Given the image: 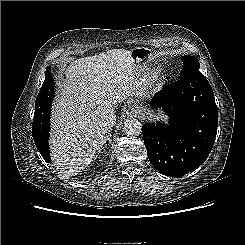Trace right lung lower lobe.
Segmentation results:
<instances>
[{
    "instance_id": "obj_1",
    "label": "right lung lower lobe",
    "mask_w": 245,
    "mask_h": 245,
    "mask_svg": "<svg viewBox=\"0 0 245 245\" xmlns=\"http://www.w3.org/2000/svg\"><path fill=\"white\" fill-rule=\"evenodd\" d=\"M50 116L49 117H35L32 124L33 139L37 149L40 151L42 157L47 163H50L49 155V129H50Z\"/></svg>"
}]
</instances>
